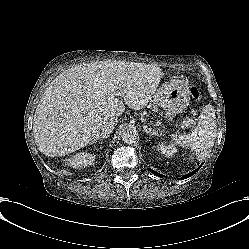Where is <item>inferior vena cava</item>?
I'll return each instance as SVG.
<instances>
[{
	"mask_svg": "<svg viewBox=\"0 0 249 249\" xmlns=\"http://www.w3.org/2000/svg\"><path fill=\"white\" fill-rule=\"evenodd\" d=\"M117 122H118L117 119L104 121L100 126L99 130L100 135L110 134L117 125Z\"/></svg>",
	"mask_w": 249,
	"mask_h": 249,
	"instance_id": "inferior-vena-cava-1",
	"label": "inferior vena cava"
}]
</instances>
